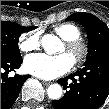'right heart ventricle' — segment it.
<instances>
[{"mask_svg": "<svg viewBox=\"0 0 109 109\" xmlns=\"http://www.w3.org/2000/svg\"><path fill=\"white\" fill-rule=\"evenodd\" d=\"M53 31L65 41L81 36L80 28L73 23H60L53 27Z\"/></svg>", "mask_w": 109, "mask_h": 109, "instance_id": "obj_1", "label": "right heart ventricle"}]
</instances>
